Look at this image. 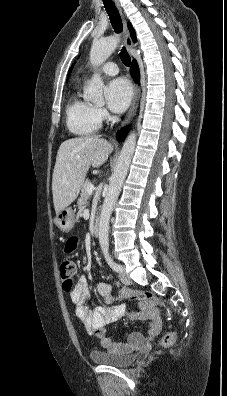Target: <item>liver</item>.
<instances>
[{"instance_id":"obj_1","label":"liver","mask_w":227,"mask_h":396,"mask_svg":"<svg viewBox=\"0 0 227 396\" xmlns=\"http://www.w3.org/2000/svg\"><path fill=\"white\" fill-rule=\"evenodd\" d=\"M112 151V144L98 135L72 138L61 143L52 178L56 214L77 198L90 166L104 164Z\"/></svg>"}]
</instances>
